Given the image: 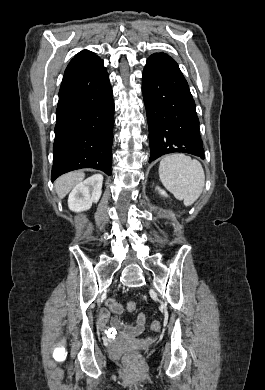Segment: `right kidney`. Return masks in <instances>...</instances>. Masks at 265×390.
<instances>
[{
  "label": "right kidney",
  "mask_w": 265,
  "mask_h": 390,
  "mask_svg": "<svg viewBox=\"0 0 265 390\" xmlns=\"http://www.w3.org/2000/svg\"><path fill=\"white\" fill-rule=\"evenodd\" d=\"M102 182L103 176L95 174L77 184L68 198L69 209L75 212L90 209L101 197Z\"/></svg>",
  "instance_id": "right-kidney-1"
}]
</instances>
